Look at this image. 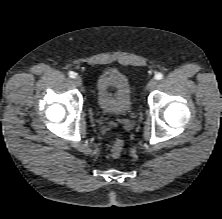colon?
I'll use <instances>...</instances> for the list:
<instances>
[{
    "label": "colon",
    "instance_id": "colon-1",
    "mask_svg": "<svg viewBox=\"0 0 222 219\" xmlns=\"http://www.w3.org/2000/svg\"><path fill=\"white\" fill-rule=\"evenodd\" d=\"M122 150H123V142L120 138L117 137L114 139V141L111 144V149H110L111 155L114 158H117L121 155Z\"/></svg>",
    "mask_w": 222,
    "mask_h": 219
}]
</instances>
